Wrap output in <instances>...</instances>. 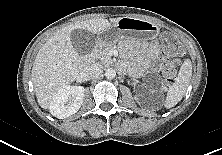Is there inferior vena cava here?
<instances>
[{"mask_svg": "<svg viewBox=\"0 0 222 155\" xmlns=\"http://www.w3.org/2000/svg\"><path fill=\"white\" fill-rule=\"evenodd\" d=\"M102 71V66L100 64L94 63L87 65L80 73L81 78L85 81L90 80L100 74Z\"/></svg>", "mask_w": 222, "mask_h": 155, "instance_id": "1", "label": "inferior vena cava"}]
</instances>
